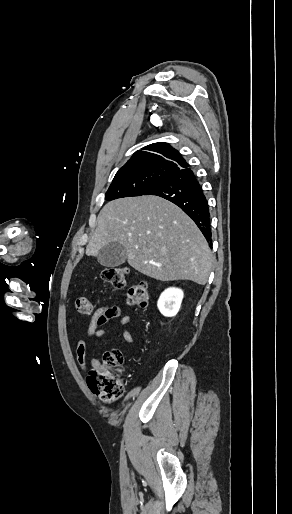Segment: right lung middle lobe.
<instances>
[{
  "label": "right lung middle lobe",
  "instance_id": "dd1d6c3e",
  "mask_svg": "<svg viewBox=\"0 0 292 514\" xmlns=\"http://www.w3.org/2000/svg\"><path fill=\"white\" fill-rule=\"evenodd\" d=\"M169 176L170 174L165 172L115 175L105 194V199L114 200L122 197L141 196Z\"/></svg>",
  "mask_w": 292,
  "mask_h": 514
}]
</instances>
